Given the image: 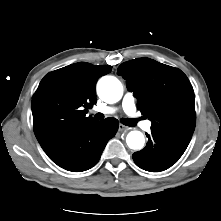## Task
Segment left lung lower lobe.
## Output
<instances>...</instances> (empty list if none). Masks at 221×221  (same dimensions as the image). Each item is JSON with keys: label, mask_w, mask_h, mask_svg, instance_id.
I'll list each match as a JSON object with an SVG mask.
<instances>
[{"label": "left lung lower lobe", "mask_w": 221, "mask_h": 221, "mask_svg": "<svg viewBox=\"0 0 221 221\" xmlns=\"http://www.w3.org/2000/svg\"><path fill=\"white\" fill-rule=\"evenodd\" d=\"M148 143L144 149L133 154V160L140 168L160 172L175 164L187 146L157 132L147 134Z\"/></svg>", "instance_id": "left-lung-lower-lobe-1"}]
</instances>
